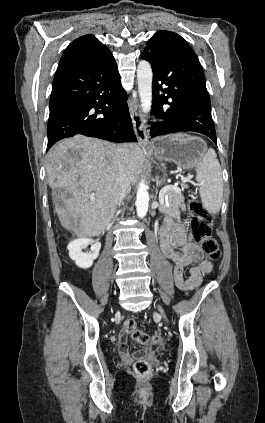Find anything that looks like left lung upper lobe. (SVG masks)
<instances>
[{
    "label": "left lung upper lobe",
    "instance_id": "1",
    "mask_svg": "<svg viewBox=\"0 0 265 423\" xmlns=\"http://www.w3.org/2000/svg\"><path fill=\"white\" fill-rule=\"evenodd\" d=\"M171 34H175V33L169 32V31H158L150 39V41H149V43H148V45H147V47L145 48L144 51L149 50L154 45H159V44L163 43L166 40L167 36H169Z\"/></svg>",
    "mask_w": 265,
    "mask_h": 423
}]
</instances>
